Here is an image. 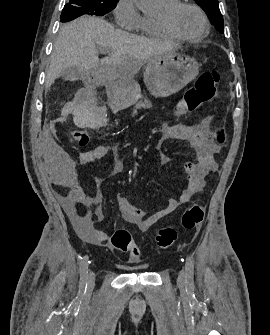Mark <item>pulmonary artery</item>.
<instances>
[{"label":"pulmonary artery","mask_w":270,"mask_h":335,"mask_svg":"<svg viewBox=\"0 0 270 335\" xmlns=\"http://www.w3.org/2000/svg\"><path fill=\"white\" fill-rule=\"evenodd\" d=\"M162 2H172V1H175V0H160Z\"/></svg>","instance_id":"pulmonary-artery-1"}]
</instances>
